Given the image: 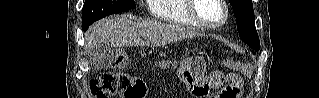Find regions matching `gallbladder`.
Wrapping results in <instances>:
<instances>
[{
    "label": "gallbladder",
    "instance_id": "bac80fb5",
    "mask_svg": "<svg viewBox=\"0 0 319 98\" xmlns=\"http://www.w3.org/2000/svg\"><path fill=\"white\" fill-rule=\"evenodd\" d=\"M113 58L112 48L107 45H101L92 50L90 62L96 69H104L112 64Z\"/></svg>",
    "mask_w": 319,
    "mask_h": 98
}]
</instances>
